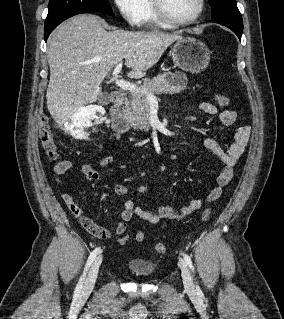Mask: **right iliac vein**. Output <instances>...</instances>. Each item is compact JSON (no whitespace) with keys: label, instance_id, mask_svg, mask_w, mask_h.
I'll return each instance as SVG.
<instances>
[{"label":"right iliac vein","instance_id":"obj_1","mask_svg":"<svg viewBox=\"0 0 284 319\" xmlns=\"http://www.w3.org/2000/svg\"><path fill=\"white\" fill-rule=\"evenodd\" d=\"M101 263H102V256L99 255L96 258V260L93 262L88 272V275L86 277L83 290H82L83 294H89L93 290Z\"/></svg>","mask_w":284,"mask_h":319}]
</instances>
